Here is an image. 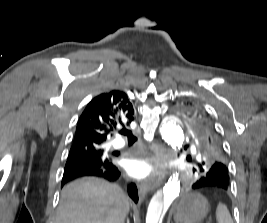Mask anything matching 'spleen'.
Masks as SVG:
<instances>
[{"instance_id":"spleen-1","label":"spleen","mask_w":267,"mask_h":223,"mask_svg":"<svg viewBox=\"0 0 267 223\" xmlns=\"http://www.w3.org/2000/svg\"><path fill=\"white\" fill-rule=\"evenodd\" d=\"M216 219L218 223H233L229 210L222 203H219L217 206Z\"/></svg>"}]
</instances>
